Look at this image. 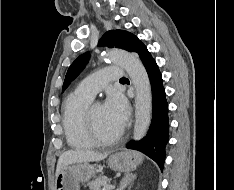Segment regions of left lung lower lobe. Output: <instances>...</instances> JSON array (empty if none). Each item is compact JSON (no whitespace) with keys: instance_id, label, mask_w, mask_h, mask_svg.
<instances>
[{"instance_id":"0a47b994","label":"left lung lower lobe","mask_w":234,"mask_h":190,"mask_svg":"<svg viewBox=\"0 0 234 190\" xmlns=\"http://www.w3.org/2000/svg\"><path fill=\"white\" fill-rule=\"evenodd\" d=\"M148 73L152 88L153 113L147 136L140 141H131L127 148L138 150L153 159L161 169L165 161V146L169 139L168 103L162 84V75L146 46L136 52Z\"/></svg>"}]
</instances>
